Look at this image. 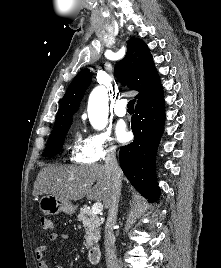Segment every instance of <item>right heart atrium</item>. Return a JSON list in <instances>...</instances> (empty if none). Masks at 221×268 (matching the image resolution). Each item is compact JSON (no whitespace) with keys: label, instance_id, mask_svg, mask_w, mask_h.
<instances>
[{"label":"right heart atrium","instance_id":"1","mask_svg":"<svg viewBox=\"0 0 221 268\" xmlns=\"http://www.w3.org/2000/svg\"><path fill=\"white\" fill-rule=\"evenodd\" d=\"M86 141L93 162H99L114 155L117 149L109 130L94 132Z\"/></svg>","mask_w":221,"mask_h":268}]
</instances>
